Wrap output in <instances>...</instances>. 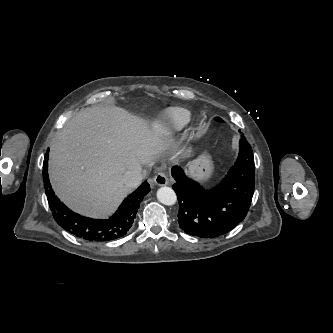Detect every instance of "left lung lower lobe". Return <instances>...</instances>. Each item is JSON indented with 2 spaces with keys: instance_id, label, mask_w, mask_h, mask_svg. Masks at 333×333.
<instances>
[{
  "instance_id": "obj_1",
  "label": "left lung lower lobe",
  "mask_w": 333,
  "mask_h": 333,
  "mask_svg": "<svg viewBox=\"0 0 333 333\" xmlns=\"http://www.w3.org/2000/svg\"><path fill=\"white\" fill-rule=\"evenodd\" d=\"M172 186L179 203L178 222L185 233L214 238L231 231L247 215L255 182L251 145L241 135L239 156L226 177L217 185L204 188L174 166Z\"/></svg>"
}]
</instances>
